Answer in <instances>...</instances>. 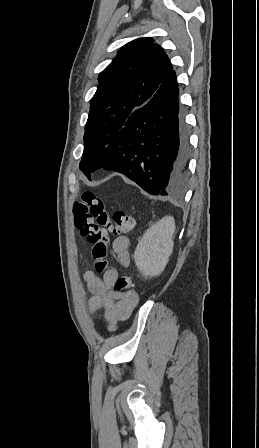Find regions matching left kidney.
<instances>
[{"instance_id":"obj_1","label":"left kidney","mask_w":259,"mask_h":448,"mask_svg":"<svg viewBox=\"0 0 259 448\" xmlns=\"http://www.w3.org/2000/svg\"><path fill=\"white\" fill-rule=\"evenodd\" d=\"M174 218L165 216L145 232L135 252V264L142 276H160L173 252Z\"/></svg>"}]
</instances>
